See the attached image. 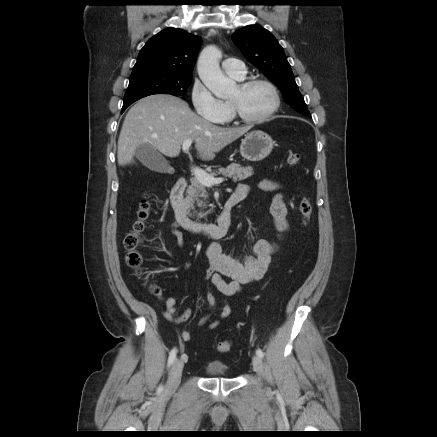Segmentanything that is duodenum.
<instances>
[{
	"label": "duodenum",
	"mask_w": 437,
	"mask_h": 437,
	"mask_svg": "<svg viewBox=\"0 0 437 437\" xmlns=\"http://www.w3.org/2000/svg\"><path fill=\"white\" fill-rule=\"evenodd\" d=\"M187 178L180 177L174 184L170 200L175 213L176 222L183 229L197 235L217 239L225 236L231 226L232 210L240 202V197L232 194L223 206L216 223H205L190 218L184 201Z\"/></svg>",
	"instance_id": "obj_1"
}]
</instances>
